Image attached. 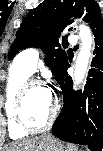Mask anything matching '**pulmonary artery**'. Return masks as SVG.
Returning <instances> with one entry per match:
<instances>
[{
	"label": "pulmonary artery",
	"mask_w": 103,
	"mask_h": 151,
	"mask_svg": "<svg viewBox=\"0 0 103 151\" xmlns=\"http://www.w3.org/2000/svg\"><path fill=\"white\" fill-rule=\"evenodd\" d=\"M68 42L71 44L76 43V37L74 35L68 36ZM39 51L36 48H28L17 55L15 63L26 70L29 74H32L37 67L39 61Z\"/></svg>",
	"instance_id": "e3ab8cb5"
}]
</instances>
